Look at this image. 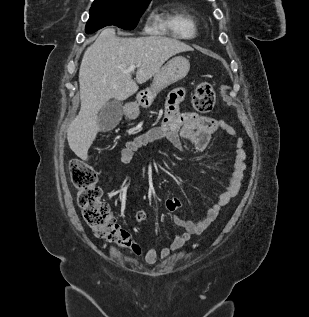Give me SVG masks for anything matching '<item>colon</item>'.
Segmentation results:
<instances>
[{
  "instance_id": "5ec220e1",
  "label": "colon",
  "mask_w": 309,
  "mask_h": 317,
  "mask_svg": "<svg viewBox=\"0 0 309 317\" xmlns=\"http://www.w3.org/2000/svg\"><path fill=\"white\" fill-rule=\"evenodd\" d=\"M194 110L207 113L215 105V92L210 83H200L191 99ZM70 177L78 190V204L85 222L94 234L135 254L140 253L130 234L113 217L109 205L102 199V191L97 186L95 170L81 159H73L69 164Z\"/></svg>"
}]
</instances>
